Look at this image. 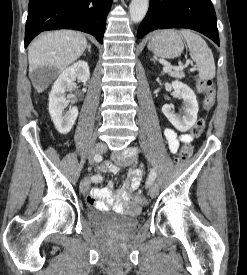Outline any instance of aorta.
Returning <instances> with one entry per match:
<instances>
[{"instance_id": "obj_1", "label": "aorta", "mask_w": 247, "mask_h": 275, "mask_svg": "<svg viewBox=\"0 0 247 275\" xmlns=\"http://www.w3.org/2000/svg\"><path fill=\"white\" fill-rule=\"evenodd\" d=\"M149 7V0H132L129 5L130 18L134 23H139L145 17Z\"/></svg>"}]
</instances>
